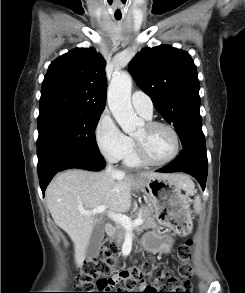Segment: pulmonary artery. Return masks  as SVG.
I'll return each mask as SVG.
<instances>
[{
  "instance_id": "pulmonary-artery-1",
  "label": "pulmonary artery",
  "mask_w": 245,
  "mask_h": 293,
  "mask_svg": "<svg viewBox=\"0 0 245 293\" xmlns=\"http://www.w3.org/2000/svg\"><path fill=\"white\" fill-rule=\"evenodd\" d=\"M132 105L135 111L145 119H150L152 117L153 103L146 93L135 91L132 95Z\"/></svg>"
}]
</instances>
